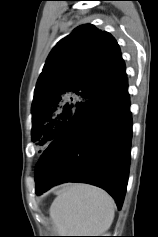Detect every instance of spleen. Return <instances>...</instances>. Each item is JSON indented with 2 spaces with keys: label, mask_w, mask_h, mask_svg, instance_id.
<instances>
[{
  "label": "spleen",
  "mask_w": 158,
  "mask_h": 237,
  "mask_svg": "<svg viewBox=\"0 0 158 237\" xmlns=\"http://www.w3.org/2000/svg\"><path fill=\"white\" fill-rule=\"evenodd\" d=\"M115 203L104 190L88 184H70L50 207L60 236H100L111 226Z\"/></svg>",
  "instance_id": "spleen-1"
}]
</instances>
